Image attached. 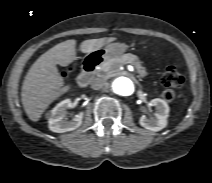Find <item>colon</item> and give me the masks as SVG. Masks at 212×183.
<instances>
[{"instance_id":"1","label":"colon","mask_w":212,"mask_h":183,"mask_svg":"<svg viewBox=\"0 0 212 183\" xmlns=\"http://www.w3.org/2000/svg\"><path fill=\"white\" fill-rule=\"evenodd\" d=\"M183 82L184 78L179 71L173 66L168 67L161 77V83L165 88L162 92L164 100L168 102L174 100L176 96L174 89L182 86Z\"/></svg>"}]
</instances>
